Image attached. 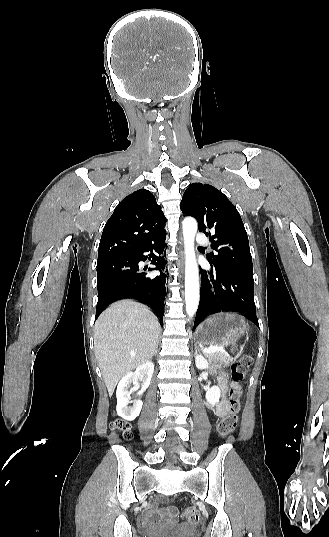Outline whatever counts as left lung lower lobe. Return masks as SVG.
Masks as SVG:
<instances>
[{
	"instance_id": "obj_1",
	"label": "left lung lower lobe",
	"mask_w": 329,
	"mask_h": 537,
	"mask_svg": "<svg viewBox=\"0 0 329 537\" xmlns=\"http://www.w3.org/2000/svg\"><path fill=\"white\" fill-rule=\"evenodd\" d=\"M210 265V272H201L202 287L194 328L205 316L218 311L241 313L259 326L254 303L253 274L221 265Z\"/></svg>"
}]
</instances>
